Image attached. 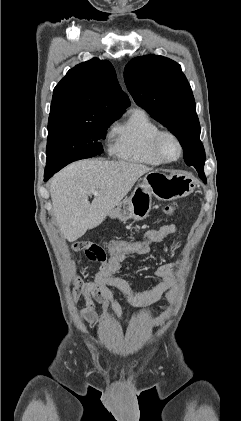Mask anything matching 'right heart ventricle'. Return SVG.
<instances>
[{
	"label": "right heart ventricle",
	"instance_id": "e07e8e85",
	"mask_svg": "<svg viewBox=\"0 0 241 421\" xmlns=\"http://www.w3.org/2000/svg\"><path fill=\"white\" fill-rule=\"evenodd\" d=\"M159 131L143 109H133L126 120L114 127L111 152L126 161L158 166L163 162L154 152L153 141Z\"/></svg>",
	"mask_w": 241,
	"mask_h": 421
}]
</instances>
